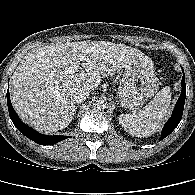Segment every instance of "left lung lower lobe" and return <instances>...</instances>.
I'll return each mask as SVG.
<instances>
[{
	"label": "left lung lower lobe",
	"mask_w": 195,
	"mask_h": 195,
	"mask_svg": "<svg viewBox=\"0 0 195 195\" xmlns=\"http://www.w3.org/2000/svg\"><path fill=\"white\" fill-rule=\"evenodd\" d=\"M181 86H182L181 95L175 105L172 116L170 117V119L167 121V123L165 124L163 128L160 139H164L169 134H171L172 131L177 127V125L181 121L184 104H185V97H186V85H185L184 71H183V78L181 81Z\"/></svg>",
	"instance_id": "left-lung-lower-lobe-1"
}]
</instances>
